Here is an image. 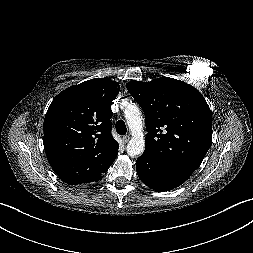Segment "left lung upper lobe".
<instances>
[{
  "instance_id": "5c2ea615",
  "label": "left lung upper lobe",
  "mask_w": 253,
  "mask_h": 253,
  "mask_svg": "<svg viewBox=\"0 0 253 253\" xmlns=\"http://www.w3.org/2000/svg\"><path fill=\"white\" fill-rule=\"evenodd\" d=\"M126 87L145 114L144 153L163 166L197 169L212 141L211 111L201 93L169 77Z\"/></svg>"
}]
</instances>
